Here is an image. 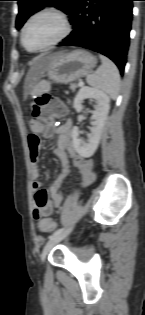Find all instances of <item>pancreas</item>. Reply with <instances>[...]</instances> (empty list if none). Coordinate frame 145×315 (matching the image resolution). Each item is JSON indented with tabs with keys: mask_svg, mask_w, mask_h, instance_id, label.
Listing matches in <instances>:
<instances>
[{
	"mask_svg": "<svg viewBox=\"0 0 145 315\" xmlns=\"http://www.w3.org/2000/svg\"><path fill=\"white\" fill-rule=\"evenodd\" d=\"M76 88H77V85H76L75 83L70 84V89H71L72 91H75Z\"/></svg>",
	"mask_w": 145,
	"mask_h": 315,
	"instance_id": "1",
	"label": "pancreas"
}]
</instances>
